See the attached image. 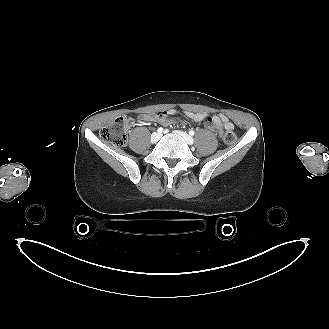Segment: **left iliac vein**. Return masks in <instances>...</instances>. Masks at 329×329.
Instances as JSON below:
<instances>
[{"label":"left iliac vein","mask_w":329,"mask_h":329,"mask_svg":"<svg viewBox=\"0 0 329 329\" xmlns=\"http://www.w3.org/2000/svg\"><path fill=\"white\" fill-rule=\"evenodd\" d=\"M176 133L179 134L189 145H192L194 143L193 138L186 132L176 131Z\"/></svg>","instance_id":"4c4485c4"}]
</instances>
